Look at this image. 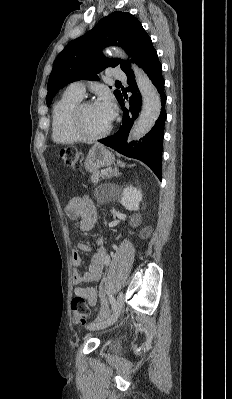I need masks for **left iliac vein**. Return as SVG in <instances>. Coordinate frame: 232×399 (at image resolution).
<instances>
[{"instance_id":"obj_1","label":"left iliac vein","mask_w":232,"mask_h":399,"mask_svg":"<svg viewBox=\"0 0 232 399\" xmlns=\"http://www.w3.org/2000/svg\"><path fill=\"white\" fill-rule=\"evenodd\" d=\"M124 298V292L120 291L119 295L117 296V305L116 307H114L113 313L109 320H105V322H98L97 325H90L89 330L97 331L98 329L111 327L112 323H116V320L120 315L121 310H123Z\"/></svg>"}]
</instances>
